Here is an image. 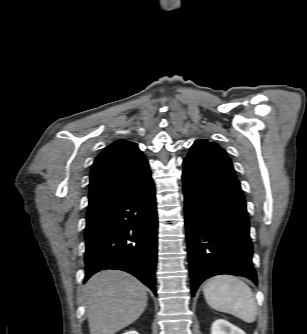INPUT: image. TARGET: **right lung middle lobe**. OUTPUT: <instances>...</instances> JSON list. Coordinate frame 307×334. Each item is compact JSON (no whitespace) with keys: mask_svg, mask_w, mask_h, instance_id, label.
Returning <instances> with one entry per match:
<instances>
[{"mask_svg":"<svg viewBox=\"0 0 307 334\" xmlns=\"http://www.w3.org/2000/svg\"><path fill=\"white\" fill-rule=\"evenodd\" d=\"M92 220H93V217L92 218L87 217V224L90 223V222H92Z\"/></svg>","mask_w":307,"mask_h":334,"instance_id":"1","label":"right lung middle lobe"}]
</instances>
